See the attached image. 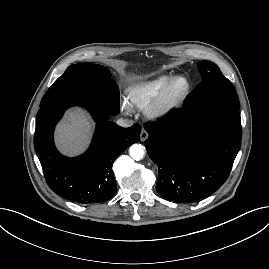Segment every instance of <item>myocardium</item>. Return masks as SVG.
Masks as SVG:
<instances>
[{
    "instance_id": "1",
    "label": "myocardium",
    "mask_w": 269,
    "mask_h": 269,
    "mask_svg": "<svg viewBox=\"0 0 269 269\" xmlns=\"http://www.w3.org/2000/svg\"><path fill=\"white\" fill-rule=\"evenodd\" d=\"M179 81H182L184 83V87L181 92H179L178 94H174V86ZM190 89L191 84L186 76L175 75L171 77L162 87L157 97L147 107V115L151 118L156 119L170 114L184 103L190 93Z\"/></svg>"
}]
</instances>
